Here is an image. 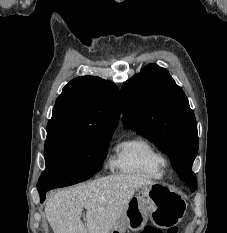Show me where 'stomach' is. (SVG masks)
Returning <instances> with one entry per match:
<instances>
[{"instance_id": "obj_1", "label": "stomach", "mask_w": 227, "mask_h": 233, "mask_svg": "<svg viewBox=\"0 0 227 233\" xmlns=\"http://www.w3.org/2000/svg\"><path fill=\"white\" fill-rule=\"evenodd\" d=\"M187 209L185 198L165 184L155 183L142 187L133 197L109 233L138 231L148 219L159 227L172 228L184 217Z\"/></svg>"}]
</instances>
